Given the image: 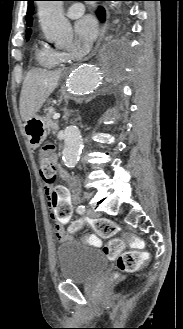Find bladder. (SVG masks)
<instances>
[{
    "label": "bladder",
    "mask_w": 183,
    "mask_h": 329,
    "mask_svg": "<svg viewBox=\"0 0 183 329\" xmlns=\"http://www.w3.org/2000/svg\"><path fill=\"white\" fill-rule=\"evenodd\" d=\"M56 256L63 281L88 282L108 268V260L99 249L74 239L59 244Z\"/></svg>",
    "instance_id": "bladder-1"
}]
</instances>
